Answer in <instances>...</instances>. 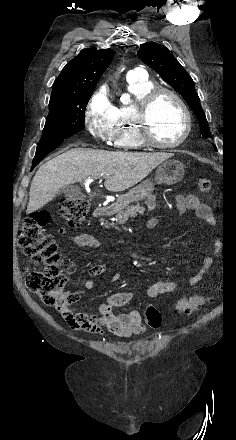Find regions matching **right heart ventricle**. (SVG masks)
I'll list each match as a JSON object with an SVG mask.
<instances>
[{"mask_svg":"<svg viewBox=\"0 0 236 440\" xmlns=\"http://www.w3.org/2000/svg\"><path fill=\"white\" fill-rule=\"evenodd\" d=\"M128 90L132 93L136 102L154 88V83L148 79L127 78ZM136 104L128 106H118L114 109L113 143L116 147L138 149L144 147L140 140L133 114Z\"/></svg>","mask_w":236,"mask_h":440,"instance_id":"e07e8e85","label":"right heart ventricle"}]
</instances>
